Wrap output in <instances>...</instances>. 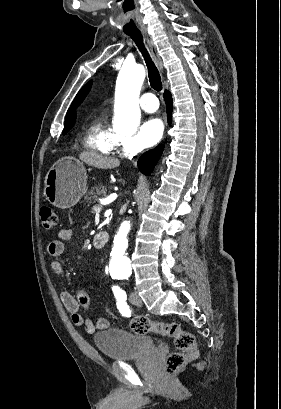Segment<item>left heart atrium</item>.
<instances>
[{
	"instance_id": "39dd6f15",
	"label": "left heart atrium",
	"mask_w": 281,
	"mask_h": 409,
	"mask_svg": "<svg viewBox=\"0 0 281 409\" xmlns=\"http://www.w3.org/2000/svg\"><path fill=\"white\" fill-rule=\"evenodd\" d=\"M163 131L164 124L162 119L157 116L149 117L140 129L141 143L146 147L157 144L163 136Z\"/></svg>"
}]
</instances>
